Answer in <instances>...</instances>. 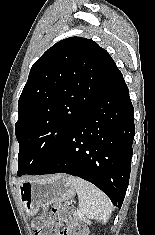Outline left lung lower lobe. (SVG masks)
<instances>
[{"label": "left lung lower lobe", "instance_id": "0a47b994", "mask_svg": "<svg viewBox=\"0 0 155 235\" xmlns=\"http://www.w3.org/2000/svg\"><path fill=\"white\" fill-rule=\"evenodd\" d=\"M134 134V108L117 68L54 157L35 174L81 177L121 208L129 183Z\"/></svg>", "mask_w": 155, "mask_h": 235}]
</instances>
